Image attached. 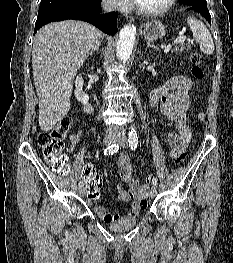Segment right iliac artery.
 Segmentation results:
<instances>
[{
	"label": "right iliac artery",
	"mask_w": 233,
	"mask_h": 263,
	"mask_svg": "<svg viewBox=\"0 0 233 263\" xmlns=\"http://www.w3.org/2000/svg\"><path fill=\"white\" fill-rule=\"evenodd\" d=\"M120 149V145L119 144H112L110 146H108L105 150H104V155H113L114 153L118 152V150ZM84 183L83 181H80L78 183L79 188L83 187Z\"/></svg>",
	"instance_id": "obj_1"
}]
</instances>
